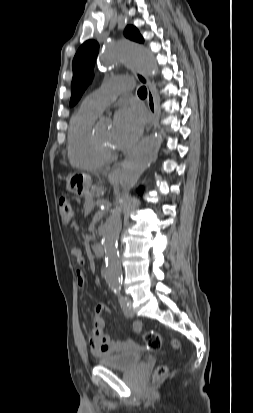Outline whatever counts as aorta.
Here are the masks:
<instances>
[{"label":"aorta","instance_id":"obj_1","mask_svg":"<svg viewBox=\"0 0 253 413\" xmlns=\"http://www.w3.org/2000/svg\"><path fill=\"white\" fill-rule=\"evenodd\" d=\"M101 63L105 66L124 62L132 69L139 70L149 76L157 74V67L152 53L143 45L131 41L120 40L107 46L101 55ZM162 137L153 135L143 139L124 160L120 174L121 188L128 192L139 180L142 173L150 166L161 145ZM122 206L118 203L112 210L102 229V245L105 251V279L111 289L120 287L121 264L119 261L117 241L122 228Z\"/></svg>","mask_w":253,"mask_h":413}]
</instances>
